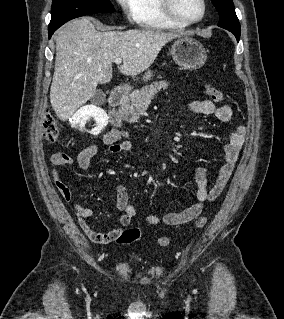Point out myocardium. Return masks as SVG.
I'll return each mask as SVG.
<instances>
[{"label": "myocardium", "mask_w": 284, "mask_h": 319, "mask_svg": "<svg viewBox=\"0 0 284 319\" xmlns=\"http://www.w3.org/2000/svg\"><path fill=\"white\" fill-rule=\"evenodd\" d=\"M202 3V14L199 18L194 19V20H185L183 18H181L176 10H175V2L174 0H161V6L163 9V12L165 13V15L172 21H174L175 23L181 24L183 26H190V25H194L197 24L199 22H201L206 14H207V1L206 0H201Z\"/></svg>", "instance_id": "obj_1"}]
</instances>
